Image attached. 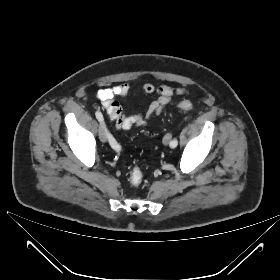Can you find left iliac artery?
<instances>
[{
  "instance_id": "1",
  "label": "left iliac artery",
  "mask_w": 280,
  "mask_h": 280,
  "mask_svg": "<svg viewBox=\"0 0 280 280\" xmlns=\"http://www.w3.org/2000/svg\"><path fill=\"white\" fill-rule=\"evenodd\" d=\"M178 145V141L176 138H174L171 142H170V147L171 148H176Z\"/></svg>"
}]
</instances>
